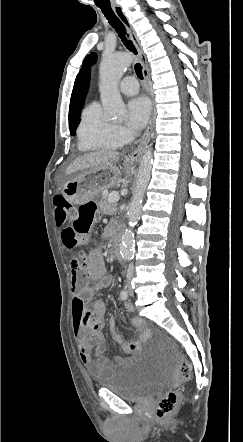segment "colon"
Wrapping results in <instances>:
<instances>
[{
  "instance_id": "5ec220e1",
  "label": "colon",
  "mask_w": 243,
  "mask_h": 442,
  "mask_svg": "<svg viewBox=\"0 0 243 442\" xmlns=\"http://www.w3.org/2000/svg\"><path fill=\"white\" fill-rule=\"evenodd\" d=\"M55 208V222L58 227H63L61 240L68 249H74L83 243L92 224L99 219L96 204L88 201L79 207H74L65 196L56 195L53 198ZM101 220H109V215H101ZM102 224V221H99ZM180 373L183 380L191 376V365L187 359L180 357ZM180 393L178 390H169L158 402L156 414L159 418L171 416L178 407Z\"/></svg>"
}]
</instances>
